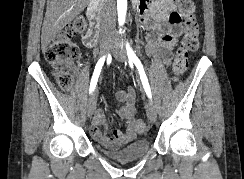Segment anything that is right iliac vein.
I'll return each instance as SVG.
<instances>
[{
  "label": "right iliac vein",
  "instance_id": "1",
  "mask_svg": "<svg viewBox=\"0 0 244 179\" xmlns=\"http://www.w3.org/2000/svg\"><path fill=\"white\" fill-rule=\"evenodd\" d=\"M110 45H111L110 42H107L104 45H102V47H101V54L102 55H104L108 51ZM96 102H97V93H96V91H94L91 94V96L88 100V103H87V114L90 118H91V116H92V114L96 108Z\"/></svg>",
  "mask_w": 244,
  "mask_h": 179
}]
</instances>
